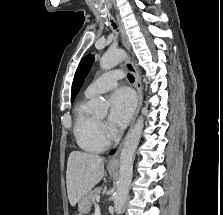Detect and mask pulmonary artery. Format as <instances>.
<instances>
[{
	"mask_svg": "<svg viewBox=\"0 0 223 215\" xmlns=\"http://www.w3.org/2000/svg\"><path fill=\"white\" fill-rule=\"evenodd\" d=\"M123 77V73L118 69H110V72L100 76L91 82L86 90L85 95L92 97L100 93L111 90L118 85V81Z\"/></svg>",
	"mask_w": 223,
	"mask_h": 215,
	"instance_id": "1",
	"label": "pulmonary artery"
}]
</instances>
